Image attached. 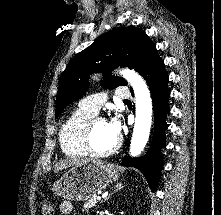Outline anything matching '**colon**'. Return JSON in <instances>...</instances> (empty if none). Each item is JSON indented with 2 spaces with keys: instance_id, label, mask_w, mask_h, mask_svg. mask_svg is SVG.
Wrapping results in <instances>:
<instances>
[{
  "instance_id": "5ec220e1",
  "label": "colon",
  "mask_w": 221,
  "mask_h": 215,
  "mask_svg": "<svg viewBox=\"0 0 221 215\" xmlns=\"http://www.w3.org/2000/svg\"><path fill=\"white\" fill-rule=\"evenodd\" d=\"M42 210L44 215H53L55 211L54 206L51 204H44Z\"/></svg>"
}]
</instances>
